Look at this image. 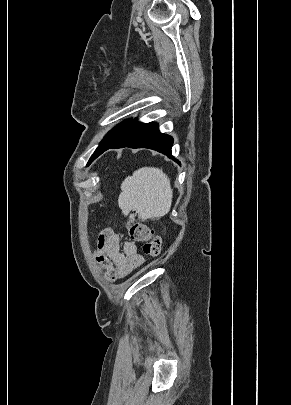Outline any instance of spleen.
Returning a JSON list of instances; mask_svg holds the SVG:
<instances>
[{"label": "spleen", "instance_id": "1", "mask_svg": "<svg viewBox=\"0 0 291 405\" xmlns=\"http://www.w3.org/2000/svg\"><path fill=\"white\" fill-rule=\"evenodd\" d=\"M170 179L159 168L143 167L121 184L118 204L122 213L135 211L142 220L166 215L172 204Z\"/></svg>", "mask_w": 291, "mask_h": 405}]
</instances>
